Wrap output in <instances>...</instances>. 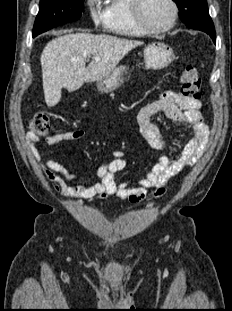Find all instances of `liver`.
<instances>
[{
  "label": "liver",
  "instance_id": "1",
  "mask_svg": "<svg viewBox=\"0 0 232 311\" xmlns=\"http://www.w3.org/2000/svg\"><path fill=\"white\" fill-rule=\"evenodd\" d=\"M141 41L108 35L72 33L47 43L40 57L45 102L55 106L61 99V89L73 92L84 83L98 81L114 71L118 63ZM87 57H92L86 67ZM94 57H100L96 61Z\"/></svg>",
  "mask_w": 232,
  "mask_h": 311
}]
</instances>
